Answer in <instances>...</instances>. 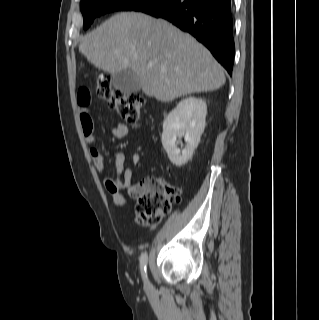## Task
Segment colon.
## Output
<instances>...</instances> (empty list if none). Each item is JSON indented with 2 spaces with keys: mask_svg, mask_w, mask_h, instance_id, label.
I'll return each instance as SVG.
<instances>
[{
  "mask_svg": "<svg viewBox=\"0 0 319 320\" xmlns=\"http://www.w3.org/2000/svg\"><path fill=\"white\" fill-rule=\"evenodd\" d=\"M97 96L108 103L127 123H141L144 98L137 93H124L112 88L109 77L100 76L96 85ZM178 188L167 184L158 176H149L138 184L136 220L142 225H157L169 213L173 204L180 200Z\"/></svg>",
  "mask_w": 319,
  "mask_h": 320,
  "instance_id": "5ec220e1",
  "label": "colon"
}]
</instances>
